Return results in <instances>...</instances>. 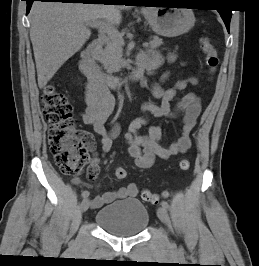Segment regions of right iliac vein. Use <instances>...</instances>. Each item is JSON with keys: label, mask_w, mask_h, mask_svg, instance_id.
<instances>
[{"label": "right iliac vein", "mask_w": 259, "mask_h": 266, "mask_svg": "<svg viewBox=\"0 0 259 266\" xmlns=\"http://www.w3.org/2000/svg\"><path fill=\"white\" fill-rule=\"evenodd\" d=\"M89 206H90V201H89V199L86 198V199H84V200L82 201V203H81V210H82L83 212H85V211L88 210Z\"/></svg>", "instance_id": "63e3f726"}]
</instances>
